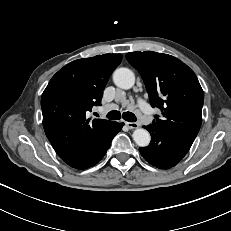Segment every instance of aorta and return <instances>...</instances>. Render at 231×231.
Returning a JSON list of instances; mask_svg holds the SVG:
<instances>
[{"instance_id":"1","label":"aorta","mask_w":231,"mask_h":231,"mask_svg":"<svg viewBox=\"0 0 231 231\" xmlns=\"http://www.w3.org/2000/svg\"><path fill=\"white\" fill-rule=\"evenodd\" d=\"M113 81L115 85L121 89H130L135 83V75L128 68H118L113 73ZM133 140L140 147L149 145L151 137L149 132L143 128H137L133 132Z\"/></svg>"}]
</instances>
